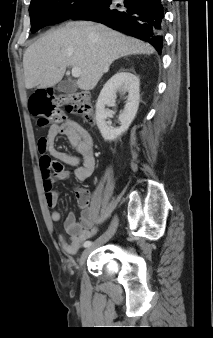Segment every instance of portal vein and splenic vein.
Returning <instances> with one entry per match:
<instances>
[{"label": "portal vein and splenic vein", "mask_w": 213, "mask_h": 338, "mask_svg": "<svg viewBox=\"0 0 213 338\" xmlns=\"http://www.w3.org/2000/svg\"><path fill=\"white\" fill-rule=\"evenodd\" d=\"M81 75V69L79 67H73L72 68V76L75 78L80 77Z\"/></svg>", "instance_id": "portal-vein-and-splenic-vein-1"}]
</instances>
